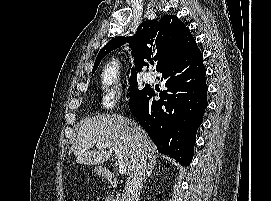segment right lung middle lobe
<instances>
[{
    "instance_id": "obj_1",
    "label": "right lung middle lobe",
    "mask_w": 271,
    "mask_h": 201,
    "mask_svg": "<svg viewBox=\"0 0 271 201\" xmlns=\"http://www.w3.org/2000/svg\"><path fill=\"white\" fill-rule=\"evenodd\" d=\"M129 83L131 85L129 87V91H130L129 97L130 98H132L133 96L139 95V94L145 92L148 89V87H145V88H143L141 90H139V89L136 88L137 87V78H136V75H132V77L129 80Z\"/></svg>"
}]
</instances>
